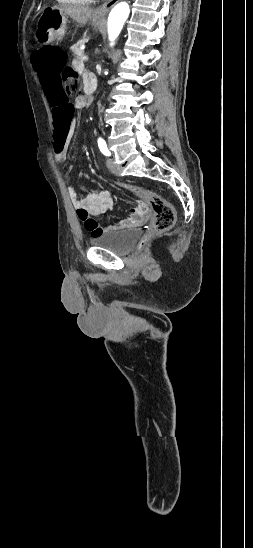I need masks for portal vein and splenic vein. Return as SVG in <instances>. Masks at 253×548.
Instances as JSON below:
<instances>
[{
  "mask_svg": "<svg viewBox=\"0 0 253 548\" xmlns=\"http://www.w3.org/2000/svg\"><path fill=\"white\" fill-rule=\"evenodd\" d=\"M82 60L87 61V60H88V56L84 55V56L82 57Z\"/></svg>",
  "mask_w": 253,
  "mask_h": 548,
  "instance_id": "18ae733b",
  "label": "portal vein and splenic vein"
}]
</instances>
